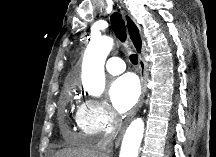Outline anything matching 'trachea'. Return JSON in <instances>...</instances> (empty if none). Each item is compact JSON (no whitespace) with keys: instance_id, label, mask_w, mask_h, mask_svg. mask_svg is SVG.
Segmentation results:
<instances>
[{"instance_id":"3493384b","label":"trachea","mask_w":216,"mask_h":157,"mask_svg":"<svg viewBox=\"0 0 216 157\" xmlns=\"http://www.w3.org/2000/svg\"><path fill=\"white\" fill-rule=\"evenodd\" d=\"M111 25L113 27V30L115 32V35L117 36V38L122 42L125 43L126 39H127V33H126V26H125V22L122 19V16L120 13L115 12L111 15ZM133 41L134 43L136 42L139 46V48H141V38L139 35V31L137 29V27L134 26V35H133ZM130 61L133 64H137L138 63V56L137 54H131L130 55Z\"/></svg>"}]
</instances>
